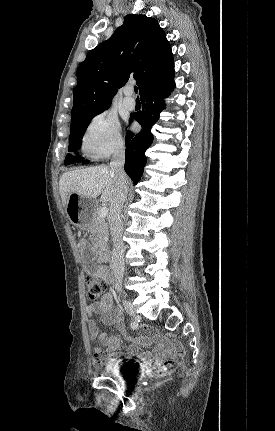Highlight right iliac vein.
<instances>
[{"label": "right iliac vein", "mask_w": 275, "mask_h": 431, "mask_svg": "<svg viewBox=\"0 0 275 431\" xmlns=\"http://www.w3.org/2000/svg\"><path fill=\"white\" fill-rule=\"evenodd\" d=\"M123 305H124L125 310L129 314H131V315L135 314V309H134L133 304L130 301H128L126 298H123Z\"/></svg>", "instance_id": "obj_1"}]
</instances>
